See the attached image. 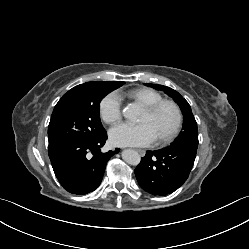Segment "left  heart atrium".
<instances>
[{"instance_id": "left-heart-atrium-1", "label": "left heart atrium", "mask_w": 249, "mask_h": 249, "mask_svg": "<svg viewBox=\"0 0 249 249\" xmlns=\"http://www.w3.org/2000/svg\"><path fill=\"white\" fill-rule=\"evenodd\" d=\"M109 138L116 146H146L154 142L156 136L148 123H121L110 130Z\"/></svg>"}]
</instances>
